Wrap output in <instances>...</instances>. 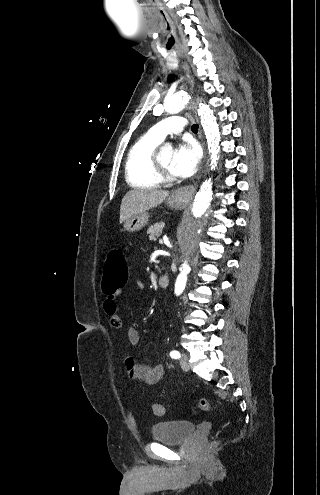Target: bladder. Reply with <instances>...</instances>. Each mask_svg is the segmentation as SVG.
I'll return each mask as SVG.
<instances>
[{
	"label": "bladder",
	"instance_id": "bladder-1",
	"mask_svg": "<svg viewBox=\"0 0 320 495\" xmlns=\"http://www.w3.org/2000/svg\"><path fill=\"white\" fill-rule=\"evenodd\" d=\"M196 424L189 420L158 422L151 427L154 440L166 444H180L195 432Z\"/></svg>",
	"mask_w": 320,
	"mask_h": 495
}]
</instances>
